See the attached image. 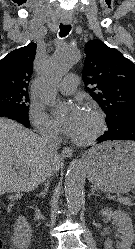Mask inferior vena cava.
Returning <instances> with one entry per match:
<instances>
[{
  "label": "inferior vena cava",
  "mask_w": 135,
  "mask_h": 249,
  "mask_svg": "<svg viewBox=\"0 0 135 249\" xmlns=\"http://www.w3.org/2000/svg\"><path fill=\"white\" fill-rule=\"evenodd\" d=\"M41 140L46 146L51 155L56 156L57 150L60 147L61 139L58 136V131L54 127H47L41 132ZM55 173V167L53 164H49L41 176V181L51 178Z\"/></svg>",
  "instance_id": "obj_1"
}]
</instances>
